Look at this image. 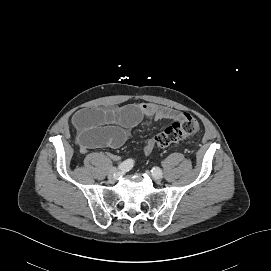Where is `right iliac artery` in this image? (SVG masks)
<instances>
[{
    "instance_id": "obj_1",
    "label": "right iliac artery",
    "mask_w": 271,
    "mask_h": 271,
    "mask_svg": "<svg viewBox=\"0 0 271 271\" xmlns=\"http://www.w3.org/2000/svg\"><path fill=\"white\" fill-rule=\"evenodd\" d=\"M134 161L127 159L118 165V169L121 171H129L133 167Z\"/></svg>"
}]
</instances>
